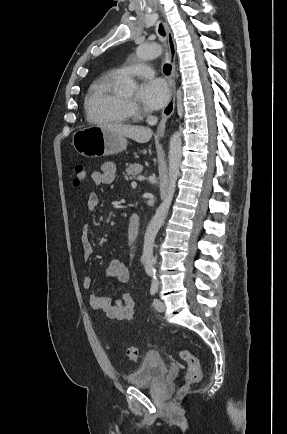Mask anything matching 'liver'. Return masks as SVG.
I'll return each mask as SVG.
<instances>
[{
    "label": "liver",
    "instance_id": "obj_1",
    "mask_svg": "<svg viewBox=\"0 0 287 434\" xmlns=\"http://www.w3.org/2000/svg\"><path fill=\"white\" fill-rule=\"evenodd\" d=\"M100 127L107 128L125 138H130L138 143H147L152 137V130L137 125H124V124H106Z\"/></svg>",
    "mask_w": 287,
    "mask_h": 434
}]
</instances>
